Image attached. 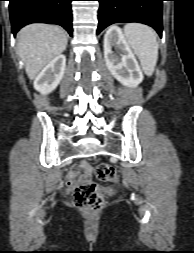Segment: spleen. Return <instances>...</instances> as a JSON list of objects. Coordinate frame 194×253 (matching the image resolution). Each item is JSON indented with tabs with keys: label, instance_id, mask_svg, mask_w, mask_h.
<instances>
[{
	"label": "spleen",
	"instance_id": "3e777b00",
	"mask_svg": "<svg viewBox=\"0 0 194 253\" xmlns=\"http://www.w3.org/2000/svg\"><path fill=\"white\" fill-rule=\"evenodd\" d=\"M124 35L129 46L139 58L144 73L152 76L158 59L155 31L144 24L128 23L124 27Z\"/></svg>",
	"mask_w": 194,
	"mask_h": 253
}]
</instances>
